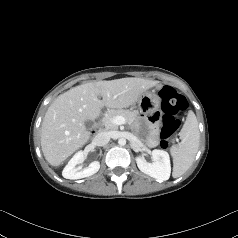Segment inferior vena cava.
I'll use <instances>...</instances> for the list:
<instances>
[{
  "label": "inferior vena cava",
  "instance_id": "1",
  "mask_svg": "<svg viewBox=\"0 0 238 238\" xmlns=\"http://www.w3.org/2000/svg\"><path fill=\"white\" fill-rule=\"evenodd\" d=\"M110 141V136L106 132H100L98 133L94 139L93 142L97 146H104Z\"/></svg>",
  "mask_w": 238,
  "mask_h": 238
}]
</instances>
